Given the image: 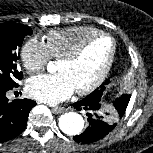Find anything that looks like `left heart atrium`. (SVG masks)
I'll return each instance as SVG.
<instances>
[{
    "instance_id": "39dd6f15",
    "label": "left heart atrium",
    "mask_w": 153,
    "mask_h": 153,
    "mask_svg": "<svg viewBox=\"0 0 153 153\" xmlns=\"http://www.w3.org/2000/svg\"><path fill=\"white\" fill-rule=\"evenodd\" d=\"M74 87L63 72L42 74L29 79L27 92L30 97L48 104H57L71 96Z\"/></svg>"
}]
</instances>
